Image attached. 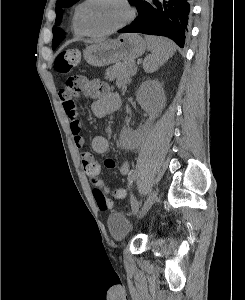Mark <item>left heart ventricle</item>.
Instances as JSON below:
<instances>
[{
    "mask_svg": "<svg viewBox=\"0 0 245 300\" xmlns=\"http://www.w3.org/2000/svg\"><path fill=\"white\" fill-rule=\"evenodd\" d=\"M126 15L120 0H93L84 8L82 22L87 30L99 32L120 24Z\"/></svg>",
    "mask_w": 245,
    "mask_h": 300,
    "instance_id": "left-heart-ventricle-1",
    "label": "left heart ventricle"
}]
</instances>
